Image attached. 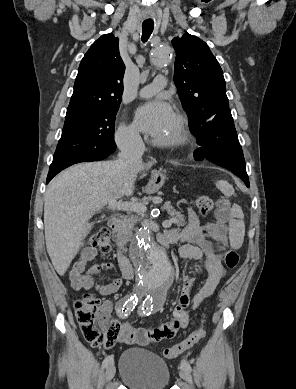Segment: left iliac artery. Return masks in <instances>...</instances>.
I'll return each mask as SVG.
<instances>
[{
	"label": "left iliac artery",
	"mask_w": 296,
	"mask_h": 389,
	"mask_svg": "<svg viewBox=\"0 0 296 389\" xmlns=\"http://www.w3.org/2000/svg\"><path fill=\"white\" fill-rule=\"evenodd\" d=\"M147 298H149V296H147ZM147 298L145 299V301L143 302V304H142V307H141V310H140V314L141 315H149L150 313H151V311H152V307L153 306H149V303H148V301H147ZM151 300V302H152V299H150ZM181 367H183V368H186V369H188L189 371H191L192 369H191V365L189 364V362H187L186 360H182L181 361Z\"/></svg>",
	"instance_id": "obj_1"
}]
</instances>
